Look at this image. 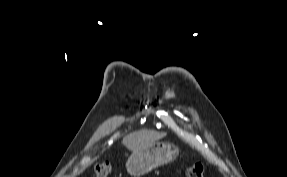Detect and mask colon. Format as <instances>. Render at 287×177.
Listing matches in <instances>:
<instances>
[{"label": "colon", "instance_id": "colon-1", "mask_svg": "<svg viewBox=\"0 0 287 177\" xmlns=\"http://www.w3.org/2000/svg\"><path fill=\"white\" fill-rule=\"evenodd\" d=\"M111 164L109 162H99L95 165L96 177H109ZM185 177H204V167L200 163H195L185 170Z\"/></svg>", "mask_w": 287, "mask_h": 177}]
</instances>
